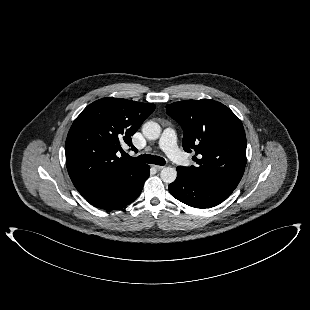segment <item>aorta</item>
I'll list each match as a JSON object with an SVG mask.
<instances>
[{"label": "aorta", "mask_w": 310, "mask_h": 310, "mask_svg": "<svg viewBox=\"0 0 310 310\" xmlns=\"http://www.w3.org/2000/svg\"><path fill=\"white\" fill-rule=\"evenodd\" d=\"M142 133L147 139L156 140L160 136L161 127L156 122L148 121L143 125ZM160 175L163 182L170 184L175 181L177 177V171L173 167H164L161 170Z\"/></svg>", "instance_id": "762f6f07"}]
</instances>
